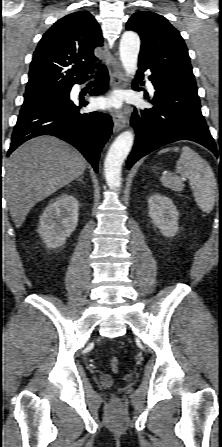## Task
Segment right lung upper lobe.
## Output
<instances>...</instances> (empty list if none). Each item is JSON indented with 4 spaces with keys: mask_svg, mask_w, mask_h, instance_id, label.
I'll use <instances>...</instances> for the list:
<instances>
[{
    "mask_svg": "<svg viewBox=\"0 0 222 447\" xmlns=\"http://www.w3.org/2000/svg\"><path fill=\"white\" fill-rule=\"evenodd\" d=\"M102 43L100 27L89 12L58 20L33 54L24 96L70 91L74 84L84 83L88 77L84 69L98 65L93 51Z\"/></svg>",
    "mask_w": 222,
    "mask_h": 447,
    "instance_id": "cb5924a9",
    "label": "right lung upper lobe"
}]
</instances>
